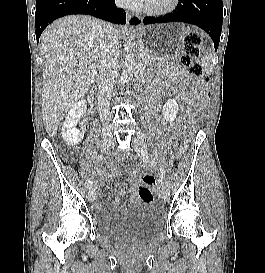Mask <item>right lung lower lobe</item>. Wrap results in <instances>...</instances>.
Returning a JSON list of instances; mask_svg holds the SVG:
<instances>
[{"instance_id":"98d812e1","label":"right lung lower lobe","mask_w":265,"mask_h":273,"mask_svg":"<svg viewBox=\"0 0 265 273\" xmlns=\"http://www.w3.org/2000/svg\"><path fill=\"white\" fill-rule=\"evenodd\" d=\"M71 14H87L116 24L126 23V13L114 0H37L36 39L55 19Z\"/></svg>"}]
</instances>
